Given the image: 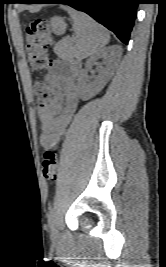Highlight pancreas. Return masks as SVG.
Masks as SVG:
<instances>
[{
    "instance_id": "obj_1",
    "label": "pancreas",
    "mask_w": 166,
    "mask_h": 267,
    "mask_svg": "<svg viewBox=\"0 0 166 267\" xmlns=\"http://www.w3.org/2000/svg\"><path fill=\"white\" fill-rule=\"evenodd\" d=\"M55 53L63 59H69L72 55V47L70 41H60L54 47Z\"/></svg>"
}]
</instances>
